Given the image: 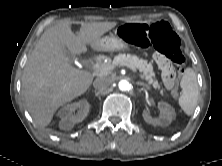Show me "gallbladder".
Listing matches in <instances>:
<instances>
[{"label": "gallbladder", "instance_id": "bac80fb5", "mask_svg": "<svg viewBox=\"0 0 222 166\" xmlns=\"http://www.w3.org/2000/svg\"><path fill=\"white\" fill-rule=\"evenodd\" d=\"M64 55L67 57L70 63H73L75 55L72 52H70L68 49H64Z\"/></svg>", "mask_w": 222, "mask_h": 166}]
</instances>
